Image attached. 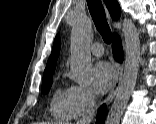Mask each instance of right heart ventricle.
Wrapping results in <instances>:
<instances>
[{
    "label": "right heart ventricle",
    "mask_w": 156,
    "mask_h": 124,
    "mask_svg": "<svg viewBox=\"0 0 156 124\" xmlns=\"http://www.w3.org/2000/svg\"><path fill=\"white\" fill-rule=\"evenodd\" d=\"M50 112L56 119L70 118L67 107V90L63 92L58 90L54 93L50 103Z\"/></svg>",
    "instance_id": "1"
}]
</instances>
